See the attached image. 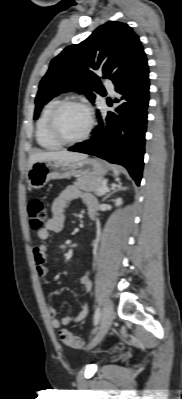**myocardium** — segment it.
I'll list each match as a JSON object with an SVG mask.
<instances>
[{
  "instance_id": "obj_1",
  "label": "myocardium",
  "mask_w": 182,
  "mask_h": 399,
  "mask_svg": "<svg viewBox=\"0 0 182 399\" xmlns=\"http://www.w3.org/2000/svg\"><path fill=\"white\" fill-rule=\"evenodd\" d=\"M70 105L79 106V107L83 108L88 117L87 129L81 136H79L75 139L65 138L60 133V131L58 129V125H57L58 114L64 107L70 106ZM94 126H95V119H94V115H93L91 108L84 101L78 100V99H65V100L59 101L52 109V111L49 115V120H48V128H49V132H50L51 136L57 142H59L61 145H73V144H77V143L85 141L92 133Z\"/></svg>"
}]
</instances>
